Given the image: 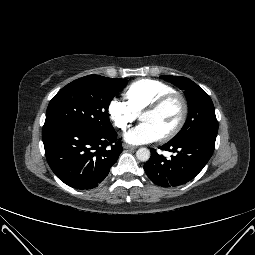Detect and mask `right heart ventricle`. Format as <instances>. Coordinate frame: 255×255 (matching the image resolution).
<instances>
[{"mask_svg": "<svg viewBox=\"0 0 255 255\" xmlns=\"http://www.w3.org/2000/svg\"><path fill=\"white\" fill-rule=\"evenodd\" d=\"M175 91L172 86L159 80L142 79L132 83L124 92L127 104L136 113L160 96Z\"/></svg>", "mask_w": 255, "mask_h": 255, "instance_id": "right-heart-ventricle-1", "label": "right heart ventricle"}]
</instances>
